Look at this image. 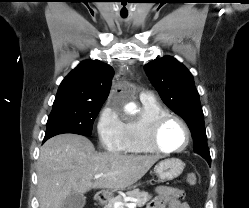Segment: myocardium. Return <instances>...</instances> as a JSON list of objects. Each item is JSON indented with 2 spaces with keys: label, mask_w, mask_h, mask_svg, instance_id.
I'll return each mask as SVG.
<instances>
[{
  "label": "myocardium",
  "mask_w": 249,
  "mask_h": 208,
  "mask_svg": "<svg viewBox=\"0 0 249 208\" xmlns=\"http://www.w3.org/2000/svg\"><path fill=\"white\" fill-rule=\"evenodd\" d=\"M171 120H175L182 125L186 133V140L183 146L180 148L165 149L159 143V135L165 124ZM190 142H191V130L188 124L181 117L171 113H166L157 117L149 126L146 134V146L153 153H161V154L180 153L187 149Z\"/></svg>",
  "instance_id": "f54148a6"
}]
</instances>
